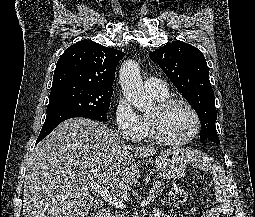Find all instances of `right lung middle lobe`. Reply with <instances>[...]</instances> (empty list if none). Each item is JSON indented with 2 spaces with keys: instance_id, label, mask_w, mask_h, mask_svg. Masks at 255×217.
<instances>
[{
  "instance_id": "right-lung-middle-lobe-1",
  "label": "right lung middle lobe",
  "mask_w": 255,
  "mask_h": 217,
  "mask_svg": "<svg viewBox=\"0 0 255 217\" xmlns=\"http://www.w3.org/2000/svg\"><path fill=\"white\" fill-rule=\"evenodd\" d=\"M113 90L82 85L52 87L47 113L64 109L89 114L100 121L107 119Z\"/></svg>"
}]
</instances>
